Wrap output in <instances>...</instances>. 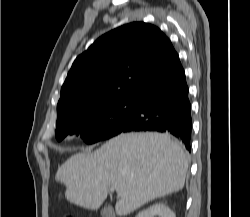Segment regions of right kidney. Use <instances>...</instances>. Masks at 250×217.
<instances>
[{"instance_id":"1","label":"right kidney","mask_w":250,"mask_h":217,"mask_svg":"<svg viewBox=\"0 0 250 217\" xmlns=\"http://www.w3.org/2000/svg\"><path fill=\"white\" fill-rule=\"evenodd\" d=\"M136 217H176L175 213L164 203L153 204L142 210Z\"/></svg>"}]
</instances>
